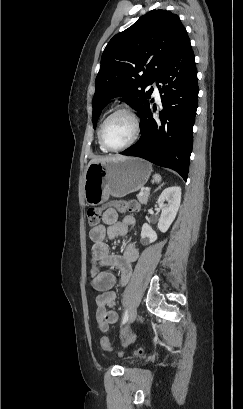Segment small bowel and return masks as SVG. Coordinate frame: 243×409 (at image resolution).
<instances>
[{"label": "small bowel", "mask_w": 243, "mask_h": 409, "mask_svg": "<svg viewBox=\"0 0 243 409\" xmlns=\"http://www.w3.org/2000/svg\"><path fill=\"white\" fill-rule=\"evenodd\" d=\"M133 224L132 216H125L122 220H118V213L114 209H107L102 214V224H98L89 231V237L93 243L92 261L94 265L91 272V285L99 292L95 299L96 319L100 331L105 334L110 325L118 321V314L114 309L116 304V293L113 289L115 276L104 267L118 269L121 285H125L131 277L132 265L139 256L138 248L133 242H126L123 253L118 255L110 252L107 240L117 236L126 238Z\"/></svg>", "instance_id": "obj_1"}]
</instances>
